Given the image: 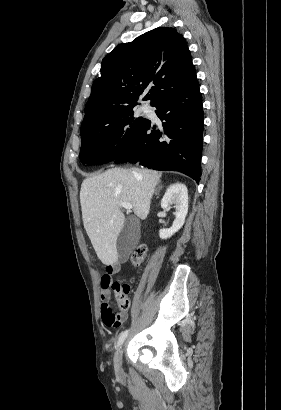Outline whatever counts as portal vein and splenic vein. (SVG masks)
Listing matches in <instances>:
<instances>
[{"mask_svg":"<svg viewBox=\"0 0 281 410\" xmlns=\"http://www.w3.org/2000/svg\"><path fill=\"white\" fill-rule=\"evenodd\" d=\"M120 205H121V207H123L127 210H131L133 208V206L130 203H126V202H121Z\"/></svg>","mask_w":281,"mask_h":410,"instance_id":"portal-vein-and-splenic-vein-1","label":"portal vein and splenic vein"}]
</instances>
